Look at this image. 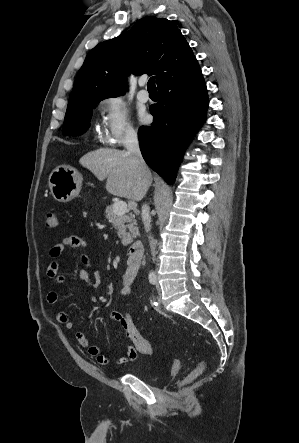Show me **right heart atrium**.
Returning <instances> with one entry per match:
<instances>
[{
  "label": "right heart atrium",
  "instance_id": "right-heart-atrium-1",
  "mask_svg": "<svg viewBox=\"0 0 299 443\" xmlns=\"http://www.w3.org/2000/svg\"><path fill=\"white\" fill-rule=\"evenodd\" d=\"M100 114L99 136L109 146H119L136 137L130 112L118 96L102 99L98 106Z\"/></svg>",
  "mask_w": 299,
  "mask_h": 443
}]
</instances>
